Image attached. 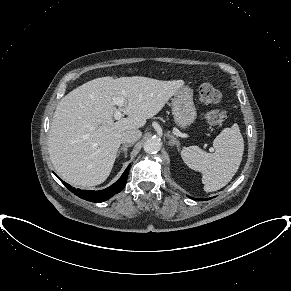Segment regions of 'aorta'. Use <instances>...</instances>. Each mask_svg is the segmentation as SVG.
<instances>
[{"label":"aorta","mask_w":291,"mask_h":291,"mask_svg":"<svg viewBox=\"0 0 291 291\" xmlns=\"http://www.w3.org/2000/svg\"><path fill=\"white\" fill-rule=\"evenodd\" d=\"M161 146L162 143L158 138H150L145 141L143 149L148 154H154L160 151Z\"/></svg>","instance_id":"1"}]
</instances>
